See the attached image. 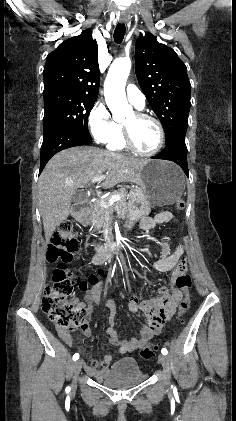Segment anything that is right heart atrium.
Segmentation results:
<instances>
[{
    "label": "right heart atrium",
    "mask_w": 236,
    "mask_h": 421,
    "mask_svg": "<svg viewBox=\"0 0 236 421\" xmlns=\"http://www.w3.org/2000/svg\"><path fill=\"white\" fill-rule=\"evenodd\" d=\"M90 133L98 144H106L116 133L118 122L103 101H97L89 114Z\"/></svg>",
    "instance_id": "d8ad5b80"
}]
</instances>
